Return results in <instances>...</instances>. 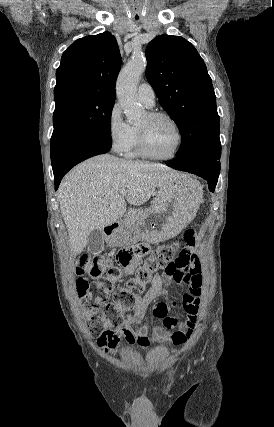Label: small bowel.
Here are the masks:
<instances>
[{
	"mask_svg": "<svg viewBox=\"0 0 274 427\" xmlns=\"http://www.w3.org/2000/svg\"><path fill=\"white\" fill-rule=\"evenodd\" d=\"M184 251L175 256L178 264H171L165 269L164 275L156 274L151 281L148 291L143 296H138L136 305L130 314L122 311L121 320L118 322H107L105 330L99 337L100 345L106 351L114 350L119 342L120 336H124L128 344H137L143 349H148L155 343L182 345L194 329L198 321L199 304L202 294V275L199 257L196 253L198 247L195 245L184 246ZM139 253L130 263L122 269L121 276L116 283L121 284L140 265L143 255L148 251L147 245L138 248ZM174 281L187 286V290L180 296V306L187 315L183 319L174 318V313L169 312V304H158L157 311L152 312L154 320L153 335H149L150 321L145 320V314L149 306L159 297L168 295L163 289L165 283ZM78 285V284H77ZM177 299L176 295L172 296ZM179 327L172 335L166 334L160 327Z\"/></svg>",
	"mask_w": 274,
	"mask_h": 427,
	"instance_id": "obj_1",
	"label": "small bowel"
}]
</instances>
